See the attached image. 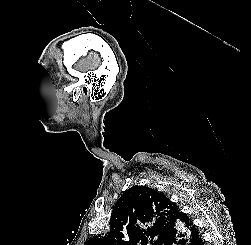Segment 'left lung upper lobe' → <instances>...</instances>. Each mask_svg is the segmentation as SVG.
<instances>
[{"mask_svg": "<svg viewBox=\"0 0 251 245\" xmlns=\"http://www.w3.org/2000/svg\"><path fill=\"white\" fill-rule=\"evenodd\" d=\"M181 209L165 195L146 186H133L115 203L110 230L90 238L84 245H163L177 232Z\"/></svg>", "mask_w": 251, "mask_h": 245, "instance_id": "left-lung-upper-lobe-1", "label": "left lung upper lobe"}]
</instances>
